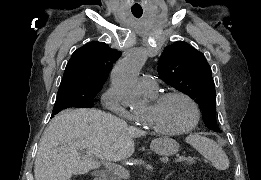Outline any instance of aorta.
<instances>
[{
    "mask_svg": "<svg viewBox=\"0 0 261 180\" xmlns=\"http://www.w3.org/2000/svg\"><path fill=\"white\" fill-rule=\"evenodd\" d=\"M145 60V52L135 50L122 58L111 72L112 87L123 106L138 109L143 105L137 78Z\"/></svg>",
    "mask_w": 261,
    "mask_h": 180,
    "instance_id": "762f6f07",
    "label": "aorta"
}]
</instances>
